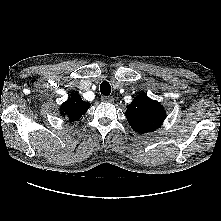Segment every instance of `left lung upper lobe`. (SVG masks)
Segmentation results:
<instances>
[{"instance_id":"obj_1","label":"left lung upper lobe","mask_w":221,"mask_h":221,"mask_svg":"<svg viewBox=\"0 0 221 221\" xmlns=\"http://www.w3.org/2000/svg\"><path fill=\"white\" fill-rule=\"evenodd\" d=\"M125 115L134 131L147 133L160 127L165 119V110L159 102L140 94L127 106Z\"/></svg>"}]
</instances>
